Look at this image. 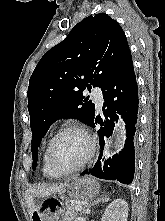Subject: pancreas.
Returning <instances> with one entry per match:
<instances>
[{
    "instance_id": "pancreas-1",
    "label": "pancreas",
    "mask_w": 165,
    "mask_h": 221,
    "mask_svg": "<svg viewBox=\"0 0 165 221\" xmlns=\"http://www.w3.org/2000/svg\"><path fill=\"white\" fill-rule=\"evenodd\" d=\"M76 203H66V213L64 215V221H73L77 214L78 211L75 210Z\"/></svg>"
}]
</instances>
